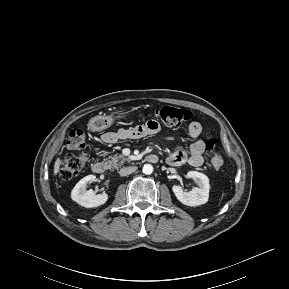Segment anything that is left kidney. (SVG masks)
I'll return each mask as SVG.
<instances>
[{"instance_id": "5707ae66", "label": "left kidney", "mask_w": 289, "mask_h": 289, "mask_svg": "<svg viewBox=\"0 0 289 289\" xmlns=\"http://www.w3.org/2000/svg\"><path fill=\"white\" fill-rule=\"evenodd\" d=\"M187 177L192 178L198 187H194L189 192H184L181 186L173 185L172 190L176 198L187 206L205 204L209 198L210 185L208 177L205 174L196 171H189Z\"/></svg>"}]
</instances>
